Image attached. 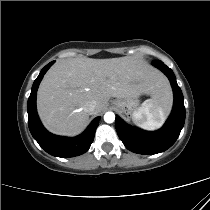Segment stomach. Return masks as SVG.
<instances>
[{"label": "stomach", "instance_id": "1", "mask_svg": "<svg viewBox=\"0 0 210 210\" xmlns=\"http://www.w3.org/2000/svg\"><path fill=\"white\" fill-rule=\"evenodd\" d=\"M113 107L124 116H133V113L140 108L139 96L129 99L117 98L112 102Z\"/></svg>", "mask_w": 210, "mask_h": 210}]
</instances>
